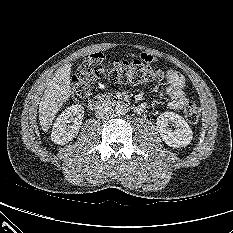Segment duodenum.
<instances>
[{
  "label": "duodenum",
  "instance_id": "410a0bca",
  "mask_svg": "<svg viewBox=\"0 0 233 233\" xmlns=\"http://www.w3.org/2000/svg\"><path fill=\"white\" fill-rule=\"evenodd\" d=\"M106 105L126 106L138 112L144 110L142 106H137L133 104L131 101L117 96L94 97L88 103V106L91 110H100Z\"/></svg>",
  "mask_w": 233,
  "mask_h": 233
}]
</instances>
